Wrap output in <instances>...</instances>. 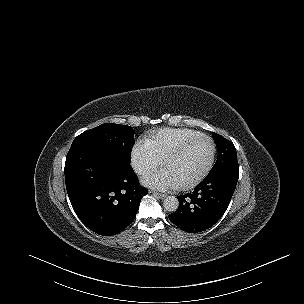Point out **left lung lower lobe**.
I'll return each mask as SVG.
<instances>
[{"instance_id": "1", "label": "left lung lower lobe", "mask_w": 304, "mask_h": 304, "mask_svg": "<svg viewBox=\"0 0 304 304\" xmlns=\"http://www.w3.org/2000/svg\"><path fill=\"white\" fill-rule=\"evenodd\" d=\"M238 178V165L207 175L193 192L177 197L180 207L169 215L170 221L188 233L211 227L225 213Z\"/></svg>"}]
</instances>
